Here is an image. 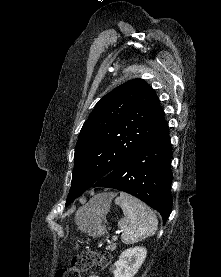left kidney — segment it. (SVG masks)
Instances as JSON below:
<instances>
[{
	"label": "left kidney",
	"instance_id": "left-kidney-1",
	"mask_svg": "<svg viewBox=\"0 0 221 277\" xmlns=\"http://www.w3.org/2000/svg\"><path fill=\"white\" fill-rule=\"evenodd\" d=\"M147 255L144 247L136 246L124 250L113 265L114 277H134Z\"/></svg>",
	"mask_w": 221,
	"mask_h": 277
}]
</instances>
